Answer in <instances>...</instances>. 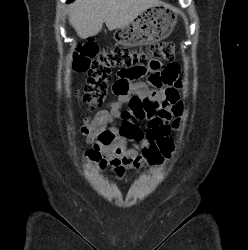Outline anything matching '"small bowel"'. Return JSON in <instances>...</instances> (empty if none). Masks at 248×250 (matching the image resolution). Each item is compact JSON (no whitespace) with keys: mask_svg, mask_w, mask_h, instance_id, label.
I'll return each mask as SVG.
<instances>
[{"mask_svg":"<svg viewBox=\"0 0 248 250\" xmlns=\"http://www.w3.org/2000/svg\"><path fill=\"white\" fill-rule=\"evenodd\" d=\"M159 71L167 70L175 79L178 77L179 67L169 64ZM121 71L113 83L112 89L116 98L106 109L98 111L93 117L85 120L81 132L88 143L94 145L92 159L101 168L107 165L114 168L118 177H122L128 169H139L155 158L154 137L170 133L173 116L178 115L174 106L166 101L165 90H150L141 82H133ZM155 71L148 65L141 67V75L153 74ZM140 75V76H141ZM176 81L173 87H178ZM176 92L177 89L175 88ZM133 96L149 98L159 103V106L144 119L147 120V130L136 125L137 118L132 111L122 110V106L130 104ZM115 120L121 121V126L115 125ZM128 143H132L128 146Z\"/></svg>","mask_w":248,"mask_h":250,"instance_id":"small-bowel-1","label":"small bowel"}]
</instances>
